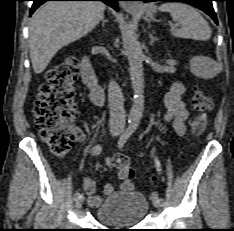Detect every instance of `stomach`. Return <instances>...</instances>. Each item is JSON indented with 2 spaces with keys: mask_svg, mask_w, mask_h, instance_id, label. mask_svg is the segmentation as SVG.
<instances>
[{
  "mask_svg": "<svg viewBox=\"0 0 234 231\" xmlns=\"http://www.w3.org/2000/svg\"><path fill=\"white\" fill-rule=\"evenodd\" d=\"M156 12V8L154 6L150 7L147 11L146 14L144 16V20L150 22V21H154V14Z\"/></svg>",
  "mask_w": 234,
  "mask_h": 231,
  "instance_id": "obj_1",
  "label": "stomach"
}]
</instances>
